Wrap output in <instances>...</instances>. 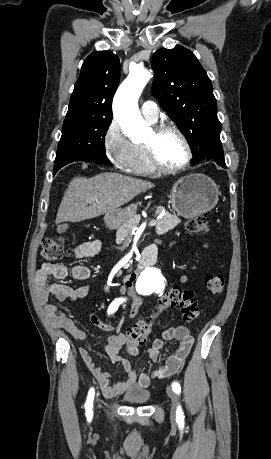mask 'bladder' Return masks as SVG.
Here are the masks:
<instances>
[{"label": "bladder", "instance_id": "31cf9c89", "mask_svg": "<svg viewBox=\"0 0 271 459\" xmlns=\"http://www.w3.org/2000/svg\"><path fill=\"white\" fill-rule=\"evenodd\" d=\"M124 398L129 404H144L150 398V393L146 390H131L124 394Z\"/></svg>", "mask_w": 271, "mask_h": 459}]
</instances>
